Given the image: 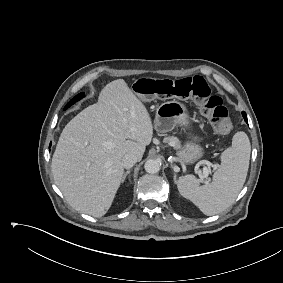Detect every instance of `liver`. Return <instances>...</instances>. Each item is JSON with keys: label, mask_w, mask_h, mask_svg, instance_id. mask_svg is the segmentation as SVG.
Segmentation results:
<instances>
[{"label": "liver", "mask_w": 283, "mask_h": 283, "mask_svg": "<svg viewBox=\"0 0 283 283\" xmlns=\"http://www.w3.org/2000/svg\"><path fill=\"white\" fill-rule=\"evenodd\" d=\"M152 137L146 107L123 79L114 80L63 129L51 162L54 181L73 208L103 216L122 182V158L134 153L140 161Z\"/></svg>", "instance_id": "obj_1"}]
</instances>
